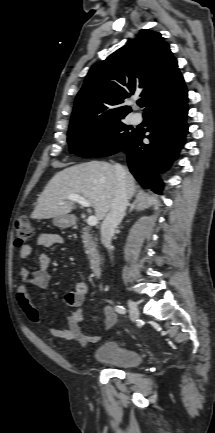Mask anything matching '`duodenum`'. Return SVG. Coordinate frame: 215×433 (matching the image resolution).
I'll return each instance as SVG.
<instances>
[{"mask_svg":"<svg viewBox=\"0 0 215 433\" xmlns=\"http://www.w3.org/2000/svg\"><path fill=\"white\" fill-rule=\"evenodd\" d=\"M90 270L97 279L101 278L102 276L101 259L98 256L92 257L90 261Z\"/></svg>","mask_w":215,"mask_h":433,"instance_id":"410a0bca","label":"duodenum"}]
</instances>
